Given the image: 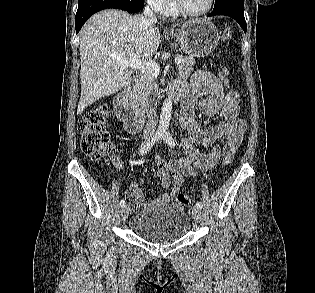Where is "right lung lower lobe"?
Wrapping results in <instances>:
<instances>
[{
  "mask_svg": "<svg viewBox=\"0 0 315 293\" xmlns=\"http://www.w3.org/2000/svg\"><path fill=\"white\" fill-rule=\"evenodd\" d=\"M143 7L144 0H78V10L75 17L76 33L91 15L100 10L116 8L135 13L142 10Z\"/></svg>",
  "mask_w": 315,
  "mask_h": 293,
  "instance_id": "obj_1",
  "label": "right lung lower lobe"
}]
</instances>
